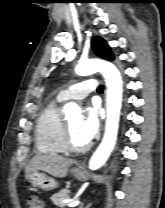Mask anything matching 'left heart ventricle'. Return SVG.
Listing matches in <instances>:
<instances>
[{"instance_id":"b2bd125f","label":"left heart ventricle","mask_w":165,"mask_h":208,"mask_svg":"<svg viewBox=\"0 0 165 208\" xmlns=\"http://www.w3.org/2000/svg\"><path fill=\"white\" fill-rule=\"evenodd\" d=\"M81 120H82L81 117L76 116V117L69 118L67 121L70 131H71L72 140L76 145H79V146L86 144L79 135V126H80Z\"/></svg>"}]
</instances>
